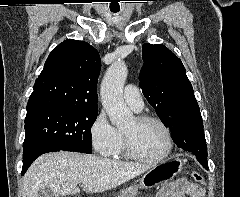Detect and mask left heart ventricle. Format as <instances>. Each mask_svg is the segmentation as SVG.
I'll return each instance as SVG.
<instances>
[{
  "label": "left heart ventricle",
  "mask_w": 240,
  "mask_h": 197,
  "mask_svg": "<svg viewBox=\"0 0 240 197\" xmlns=\"http://www.w3.org/2000/svg\"><path fill=\"white\" fill-rule=\"evenodd\" d=\"M123 132L130 136L136 149L146 156H159L167 148L165 131L154 121L139 123L134 118Z\"/></svg>",
  "instance_id": "obj_1"
}]
</instances>
